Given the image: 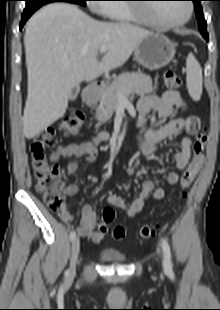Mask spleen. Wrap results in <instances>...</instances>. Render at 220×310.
I'll return each mask as SVG.
<instances>
[{
	"instance_id": "obj_1",
	"label": "spleen",
	"mask_w": 220,
	"mask_h": 310,
	"mask_svg": "<svg viewBox=\"0 0 220 310\" xmlns=\"http://www.w3.org/2000/svg\"><path fill=\"white\" fill-rule=\"evenodd\" d=\"M187 88L190 96L198 101L202 94V69L193 54H190L186 61Z\"/></svg>"
}]
</instances>
